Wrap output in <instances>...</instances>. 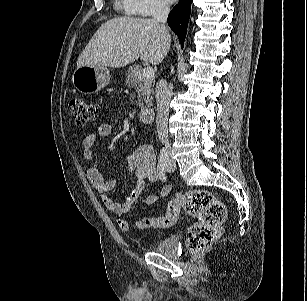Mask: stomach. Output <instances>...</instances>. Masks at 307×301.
<instances>
[{"instance_id": "stomach-1", "label": "stomach", "mask_w": 307, "mask_h": 301, "mask_svg": "<svg viewBox=\"0 0 307 301\" xmlns=\"http://www.w3.org/2000/svg\"><path fill=\"white\" fill-rule=\"evenodd\" d=\"M110 82V72L105 66H81L72 75L74 87L81 93L93 94Z\"/></svg>"}]
</instances>
